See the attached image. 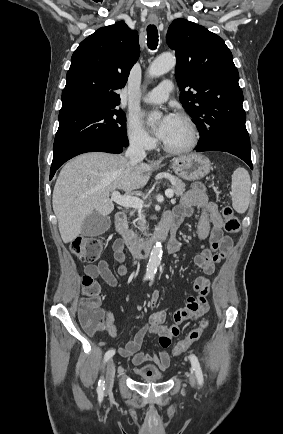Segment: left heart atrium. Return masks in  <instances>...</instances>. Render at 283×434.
I'll return each instance as SVG.
<instances>
[{"mask_svg": "<svg viewBox=\"0 0 283 434\" xmlns=\"http://www.w3.org/2000/svg\"><path fill=\"white\" fill-rule=\"evenodd\" d=\"M175 120L176 116L173 114L164 115L155 129V134L164 141L171 133Z\"/></svg>", "mask_w": 283, "mask_h": 434, "instance_id": "1", "label": "left heart atrium"}]
</instances>
